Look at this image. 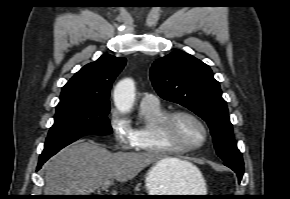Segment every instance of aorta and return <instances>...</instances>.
<instances>
[{"label":"aorta","mask_w":290,"mask_h":199,"mask_svg":"<svg viewBox=\"0 0 290 199\" xmlns=\"http://www.w3.org/2000/svg\"><path fill=\"white\" fill-rule=\"evenodd\" d=\"M135 100V85L131 79L121 80L114 90V103L118 110L129 112Z\"/></svg>","instance_id":"aorta-1"}]
</instances>
